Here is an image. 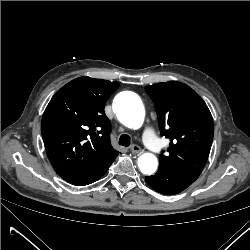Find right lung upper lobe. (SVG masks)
Returning a JSON list of instances; mask_svg holds the SVG:
<instances>
[{"mask_svg":"<svg viewBox=\"0 0 250 250\" xmlns=\"http://www.w3.org/2000/svg\"><path fill=\"white\" fill-rule=\"evenodd\" d=\"M119 83L79 77L63 86L43 114L41 132L57 174L89 169L118 154L110 143L105 102Z\"/></svg>","mask_w":250,"mask_h":250,"instance_id":"1","label":"right lung upper lobe"}]
</instances>
